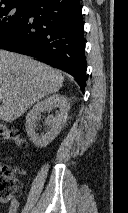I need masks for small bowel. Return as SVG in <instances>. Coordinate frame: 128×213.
<instances>
[{"label": "small bowel", "mask_w": 128, "mask_h": 213, "mask_svg": "<svg viewBox=\"0 0 128 213\" xmlns=\"http://www.w3.org/2000/svg\"><path fill=\"white\" fill-rule=\"evenodd\" d=\"M19 205L20 204L18 200L10 201L7 213H17L19 210Z\"/></svg>", "instance_id": "small-bowel-1"}]
</instances>
